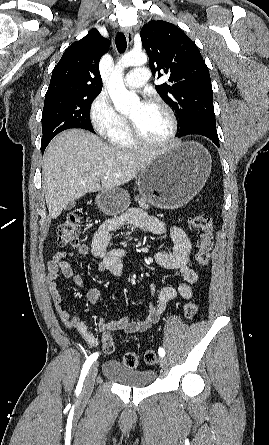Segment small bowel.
I'll return each mask as SVG.
<instances>
[{
  "label": "small bowel",
  "mask_w": 269,
  "mask_h": 445,
  "mask_svg": "<svg viewBox=\"0 0 269 445\" xmlns=\"http://www.w3.org/2000/svg\"><path fill=\"white\" fill-rule=\"evenodd\" d=\"M130 223L143 232L161 235L169 233L174 244L172 251H159L154 255L155 263L165 269L173 271L180 279L177 287L164 286L158 290V298L152 301L145 317L139 321H131L127 317L116 320H106L101 317L98 327L103 333V337L110 332L121 330L129 334L140 333L148 330L157 323L166 310L168 303L178 297L190 299L193 295L192 285L198 281V273L191 260V243L185 231L179 226L167 228L159 219L149 216L141 209H132L125 216L109 220L102 223L96 230L91 248L80 243L75 252H56L47 263L46 282L52 297L55 309L63 324L70 330L78 332L84 340L91 346L99 344L98 339L88 330L84 321L77 317H72L63 304V299L57 287L56 280L59 275L66 279H72L77 289L83 286L82 279L74 276L70 261L77 257L88 254L89 250L98 258L96 270L99 273L109 272L116 278L123 274V258L126 254L124 249L114 248L108 250V245L113 233L123 224ZM152 293L156 292V285L150 284ZM102 297L99 289H91L87 293V301L90 304L97 303Z\"/></svg>",
  "instance_id": "1"
}]
</instances>
